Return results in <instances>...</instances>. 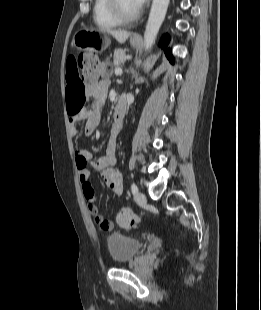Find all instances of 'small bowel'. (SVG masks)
<instances>
[{
	"label": "small bowel",
	"mask_w": 261,
	"mask_h": 310,
	"mask_svg": "<svg viewBox=\"0 0 261 310\" xmlns=\"http://www.w3.org/2000/svg\"><path fill=\"white\" fill-rule=\"evenodd\" d=\"M66 101L69 113L70 133L76 136L79 133L78 123H85V130L88 135H92L100 124V113L105 102L108 82L100 81L93 84H84L78 77L77 63L74 57H70L66 66ZM93 99V104L86 109H82L84 98ZM116 123L111 127L110 139L107 143L105 154L95 160H92L91 153L84 148H80L75 152V162L79 173V179L82 191L86 199L88 209L92 214L95 222L100 225L107 223L109 231L113 228V223L105 219L96 206V196L90 181V173L88 165L94 170L99 171L107 188L114 194L120 195L123 192V178L121 173L115 168L117 161L116 156V137L120 131Z\"/></svg>",
	"instance_id": "c3829d8e"
}]
</instances>
